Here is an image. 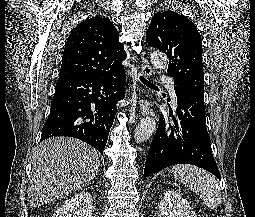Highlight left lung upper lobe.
Wrapping results in <instances>:
<instances>
[{
    "mask_svg": "<svg viewBox=\"0 0 255 217\" xmlns=\"http://www.w3.org/2000/svg\"><path fill=\"white\" fill-rule=\"evenodd\" d=\"M146 40L167 54V72L175 84L204 93L202 42L194 23L173 11L156 13L147 29Z\"/></svg>",
    "mask_w": 255,
    "mask_h": 217,
    "instance_id": "5c2ea615",
    "label": "left lung upper lobe"
}]
</instances>
